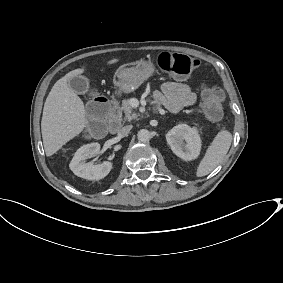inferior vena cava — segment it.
Returning <instances> with one entry per match:
<instances>
[{
	"label": "inferior vena cava",
	"instance_id": "1",
	"mask_svg": "<svg viewBox=\"0 0 283 283\" xmlns=\"http://www.w3.org/2000/svg\"><path fill=\"white\" fill-rule=\"evenodd\" d=\"M131 129H132V125H128L121 128L118 132V136L125 137Z\"/></svg>",
	"mask_w": 283,
	"mask_h": 283
}]
</instances>
